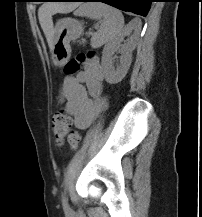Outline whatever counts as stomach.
Masks as SVG:
<instances>
[{"mask_svg":"<svg viewBox=\"0 0 202 217\" xmlns=\"http://www.w3.org/2000/svg\"><path fill=\"white\" fill-rule=\"evenodd\" d=\"M82 24L72 18L61 19L54 30L52 59L55 65H64L71 56L70 42L82 33Z\"/></svg>","mask_w":202,"mask_h":217,"instance_id":"0dacf381","label":"stomach"}]
</instances>
